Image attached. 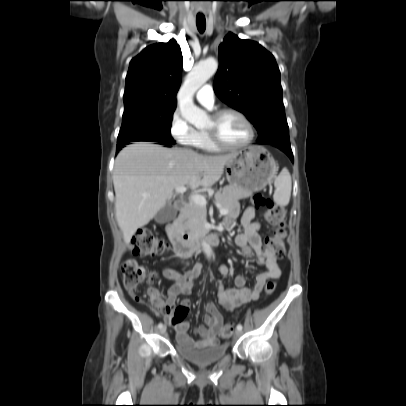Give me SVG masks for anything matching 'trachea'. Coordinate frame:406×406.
Wrapping results in <instances>:
<instances>
[{"instance_id":"obj_1","label":"trachea","mask_w":406,"mask_h":406,"mask_svg":"<svg viewBox=\"0 0 406 406\" xmlns=\"http://www.w3.org/2000/svg\"><path fill=\"white\" fill-rule=\"evenodd\" d=\"M197 28L200 33H203L206 28V20L205 18H197L196 19Z\"/></svg>"}]
</instances>
